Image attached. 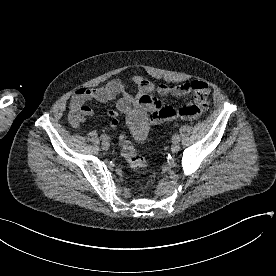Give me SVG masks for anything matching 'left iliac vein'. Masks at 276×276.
Masks as SVG:
<instances>
[{
    "label": "left iliac vein",
    "instance_id": "1",
    "mask_svg": "<svg viewBox=\"0 0 276 276\" xmlns=\"http://www.w3.org/2000/svg\"><path fill=\"white\" fill-rule=\"evenodd\" d=\"M179 149H180L179 141H173L172 146H171V151L173 153H176L179 151Z\"/></svg>",
    "mask_w": 276,
    "mask_h": 276
}]
</instances>
